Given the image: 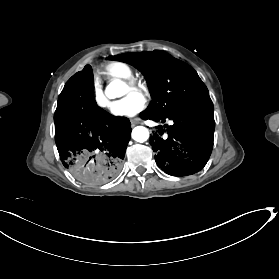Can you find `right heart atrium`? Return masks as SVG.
<instances>
[{"label": "right heart atrium", "mask_w": 279, "mask_h": 279, "mask_svg": "<svg viewBox=\"0 0 279 279\" xmlns=\"http://www.w3.org/2000/svg\"><path fill=\"white\" fill-rule=\"evenodd\" d=\"M93 96H94L95 104L100 109H108L109 108V101H108L105 93L102 90V86H101L100 82L97 81V80L94 81Z\"/></svg>", "instance_id": "obj_1"}]
</instances>
